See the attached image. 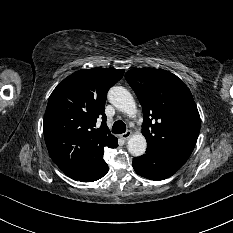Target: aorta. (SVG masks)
Here are the masks:
<instances>
[{
    "instance_id": "aorta-1",
    "label": "aorta",
    "mask_w": 233,
    "mask_h": 233,
    "mask_svg": "<svg viewBox=\"0 0 233 233\" xmlns=\"http://www.w3.org/2000/svg\"><path fill=\"white\" fill-rule=\"evenodd\" d=\"M108 99L112 105L129 116H133L137 111L133 96L124 87H112L108 92ZM127 144L128 151L133 156H141L146 151L147 142L142 134L132 135Z\"/></svg>"
}]
</instances>
